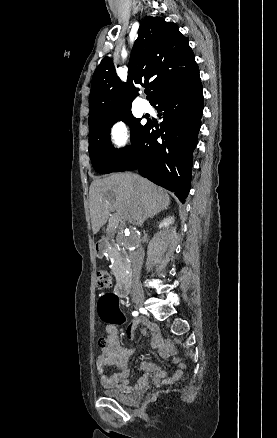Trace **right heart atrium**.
<instances>
[{
    "instance_id": "obj_1",
    "label": "right heart atrium",
    "mask_w": 277,
    "mask_h": 438,
    "mask_svg": "<svg viewBox=\"0 0 277 438\" xmlns=\"http://www.w3.org/2000/svg\"><path fill=\"white\" fill-rule=\"evenodd\" d=\"M112 138L117 145H125L128 142L129 131L122 121L116 122L111 130Z\"/></svg>"
}]
</instances>
